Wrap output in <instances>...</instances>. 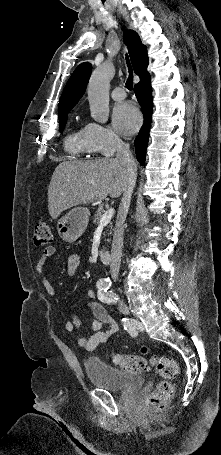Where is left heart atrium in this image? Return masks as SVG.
I'll return each instance as SVG.
<instances>
[{"label":"left heart atrium","instance_id":"obj_1","mask_svg":"<svg viewBox=\"0 0 221 455\" xmlns=\"http://www.w3.org/2000/svg\"><path fill=\"white\" fill-rule=\"evenodd\" d=\"M112 120L117 130L125 135H131L138 130L142 117L132 103L125 102L114 107Z\"/></svg>","mask_w":221,"mask_h":455}]
</instances>
